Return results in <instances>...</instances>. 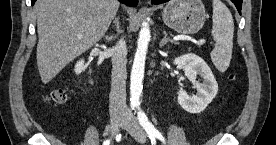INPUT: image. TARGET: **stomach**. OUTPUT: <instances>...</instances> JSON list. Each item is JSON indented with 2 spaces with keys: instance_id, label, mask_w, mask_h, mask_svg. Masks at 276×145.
I'll return each mask as SVG.
<instances>
[{
  "instance_id": "0dacf381",
  "label": "stomach",
  "mask_w": 276,
  "mask_h": 145,
  "mask_svg": "<svg viewBox=\"0 0 276 145\" xmlns=\"http://www.w3.org/2000/svg\"><path fill=\"white\" fill-rule=\"evenodd\" d=\"M164 23L181 34H194L204 25L206 13L201 0H171L163 9Z\"/></svg>"
}]
</instances>
